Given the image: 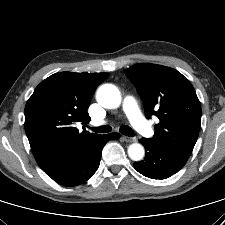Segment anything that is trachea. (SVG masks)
Instances as JSON below:
<instances>
[{
  "instance_id": "3493384b",
  "label": "trachea",
  "mask_w": 225,
  "mask_h": 225,
  "mask_svg": "<svg viewBox=\"0 0 225 225\" xmlns=\"http://www.w3.org/2000/svg\"><path fill=\"white\" fill-rule=\"evenodd\" d=\"M90 129L92 131H94L95 133H108V132L111 131V127L110 126H100V127L90 128ZM120 132L123 135L129 136V137L134 136L133 130L127 125L121 126L120 127Z\"/></svg>"
}]
</instances>
